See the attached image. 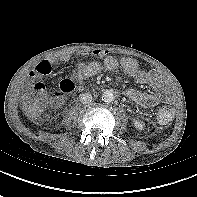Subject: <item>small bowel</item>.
<instances>
[{"mask_svg":"<svg viewBox=\"0 0 197 197\" xmlns=\"http://www.w3.org/2000/svg\"><path fill=\"white\" fill-rule=\"evenodd\" d=\"M80 54L83 56L101 58L103 59V63L101 64L98 61L80 63L77 67V77L79 79L92 77L98 74L103 67L110 71L121 69L136 82L140 84H150L154 89L153 92H144L132 88L127 89L125 95L136 104L144 107H152L161 101L173 100V91L163 76L156 70H142L138 63L132 58H117L101 50L82 51ZM69 60L70 55L68 54L60 55L56 59L44 60L31 71L30 75L34 78L49 75L52 71L53 64L66 63Z\"/></svg>","mask_w":197,"mask_h":197,"instance_id":"1","label":"small bowel"}]
</instances>
